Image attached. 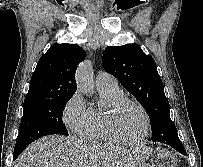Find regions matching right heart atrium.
Here are the masks:
<instances>
[{
	"label": "right heart atrium",
	"mask_w": 203,
	"mask_h": 167,
	"mask_svg": "<svg viewBox=\"0 0 203 167\" xmlns=\"http://www.w3.org/2000/svg\"><path fill=\"white\" fill-rule=\"evenodd\" d=\"M87 116V107L79 92H75L65 103L62 120L73 133L79 134Z\"/></svg>",
	"instance_id": "d8ad5b80"
}]
</instances>
